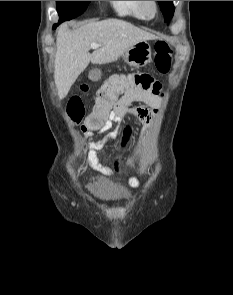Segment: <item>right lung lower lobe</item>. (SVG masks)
I'll use <instances>...</instances> for the list:
<instances>
[{
	"label": "right lung lower lobe",
	"mask_w": 233,
	"mask_h": 295,
	"mask_svg": "<svg viewBox=\"0 0 233 295\" xmlns=\"http://www.w3.org/2000/svg\"><path fill=\"white\" fill-rule=\"evenodd\" d=\"M60 23V22H59ZM58 26V24H55L53 28H56Z\"/></svg>",
	"instance_id": "right-lung-lower-lobe-1"
}]
</instances>
